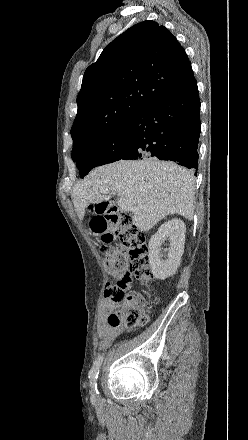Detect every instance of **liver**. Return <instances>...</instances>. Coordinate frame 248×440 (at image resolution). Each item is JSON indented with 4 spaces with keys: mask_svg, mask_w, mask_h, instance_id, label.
I'll list each match as a JSON object with an SVG mask.
<instances>
[{
    "mask_svg": "<svg viewBox=\"0 0 248 440\" xmlns=\"http://www.w3.org/2000/svg\"><path fill=\"white\" fill-rule=\"evenodd\" d=\"M114 194L133 204L132 221L140 231L150 230L170 214L193 219V174L170 161L120 160L93 169L71 194L78 218H84L88 205L108 201Z\"/></svg>",
    "mask_w": 248,
    "mask_h": 440,
    "instance_id": "1",
    "label": "liver"
}]
</instances>
